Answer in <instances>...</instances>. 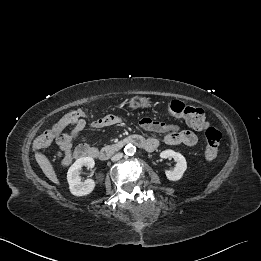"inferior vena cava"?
<instances>
[{"label":"inferior vena cava","mask_w":261,"mask_h":261,"mask_svg":"<svg viewBox=\"0 0 261 261\" xmlns=\"http://www.w3.org/2000/svg\"><path fill=\"white\" fill-rule=\"evenodd\" d=\"M122 157H123L122 153H116L115 155L112 156L111 160L113 162H116V161L120 160Z\"/></svg>","instance_id":"1"}]
</instances>
